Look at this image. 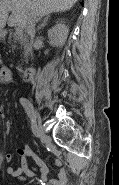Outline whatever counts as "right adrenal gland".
<instances>
[{
	"instance_id": "obj_1",
	"label": "right adrenal gland",
	"mask_w": 119,
	"mask_h": 185,
	"mask_svg": "<svg viewBox=\"0 0 119 185\" xmlns=\"http://www.w3.org/2000/svg\"><path fill=\"white\" fill-rule=\"evenodd\" d=\"M50 15H47L46 17H44L41 21L40 24L37 27V31H39L42 27H44L49 19Z\"/></svg>"
}]
</instances>
